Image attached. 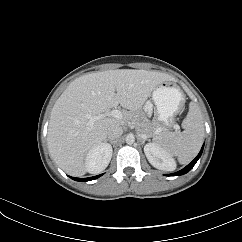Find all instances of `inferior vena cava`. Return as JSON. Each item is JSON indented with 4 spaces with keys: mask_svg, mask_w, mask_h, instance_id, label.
Listing matches in <instances>:
<instances>
[{
    "mask_svg": "<svg viewBox=\"0 0 242 242\" xmlns=\"http://www.w3.org/2000/svg\"><path fill=\"white\" fill-rule=\"evenodd\" d=\"M123 134V129L119 125H112L108 128L107 136L110 140H115Z\"/></svg>",
    "mask_w": 242,
    "mask_h": 242,
    "instance_id": "inferior-vena-cava-1",
    "label": "inferior vena cava"
}]
</instances>
